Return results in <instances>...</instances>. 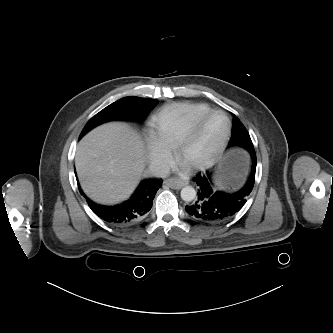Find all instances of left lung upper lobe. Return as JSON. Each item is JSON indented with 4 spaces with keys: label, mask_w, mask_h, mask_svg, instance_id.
I'll use <instances>...</instances> for the list:
<instances>
[{
    "label": "left lung upper lobe",
    "mask_w": 333,
    "mask_h": 333,
    "mask_svg": "<svg viewBox=\"0 0 333 333\" xmlns=\"http://www.w3.org/2000/svg\"><path fill=\"white\" fill-rule=\"evenodd\" d=\"M229 147L243 148L249 153L255 152L248 131L235 115L233 121L232 138L229 142Z\"/></svg>",
    "instance_id": "left-lung-upper-lobe-1"
}]
</instances>
